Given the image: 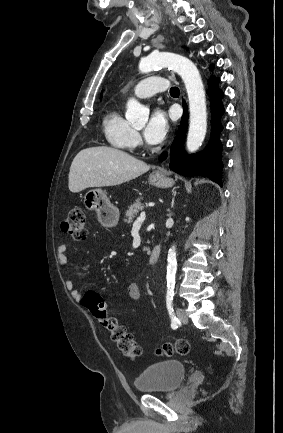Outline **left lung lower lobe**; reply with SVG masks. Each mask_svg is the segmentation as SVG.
I'll list each match as a JSON object with an SVG mask.
<instances>
[{
  "instance_id": "obj_1",
  "label": "left lung lower lobe",
  "mask_w": 283,
  "mask_h": 433,
  "mask_svg": "<svg viewBox=\"0 0 283 433\" xmlns=\"http://www.w3.org/2000/svg\"><path fill=\"white\" fill-rule=\"evenodd\" d=\"M219 78H212L209 82V96L211 99V137L208 145L201 153L189 156L183 151L184 137L187 128L186 103L183 102L184 114L181 119L178 133L171 145L170 164L171 170L186 177L204 176L222 186V143L220 133L223 130L221 117L225 112L222 104L223 92L218 89ZM167 154L161 155V160L166 159Z\"/></svg>"
}]
</instances>
